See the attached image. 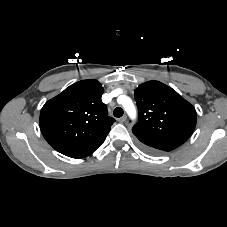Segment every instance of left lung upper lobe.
Masks as SVG:
<instances>
[{
    "label": "left lung upper lobe",
    "instance_id": "left-lung-upper-lobe-1",
    "mask_svg": "<svg viewBox=\"0 0 227 227\" xmlns=\"http://www.w3.org/2000/svg\"><path fill=\"white\" fill-rule=\"evenodd\" d=\"M134 97L139 118L132 132L145 148L168 152L192 135L197 121L195 108L171 87L148 81L135 90Z\"/></svg>",
    "mask_w": 227,
    "mask_h": 227
}]
</instances>
